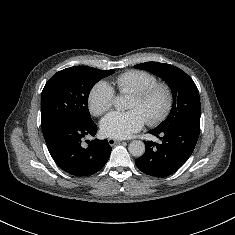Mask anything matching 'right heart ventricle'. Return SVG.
Segmentation results:
<instances>
[{
	"mask_svg": "<svg viewBox=\"0 0 235 235\" xmlns=\"http://www.w3.org/2000/svg\"><path fill=\"white\" fill-rule=\"evenodd\" d=\"M157 83V77L145 70H128L119 74L114 85L120 94H133Z\"/></svg>",
	"mask_w": 235,
	"mask_h": 235,
	"instance_id": "right-heart-ventricle-1",
	"label": "right heart ventricle"
}]
</instances>
